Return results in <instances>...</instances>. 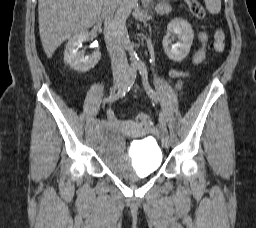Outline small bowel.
<instances>
[{
    "instance_id": "small-bowel-1",
    "label": "small bowel",
    "mask_w": 256,
    "mask_h": 228,
    "mask_svg": "<svg viewBox=\"0 0 256 228\" xmlns=\"http://www.w3.org/2000/svg\"><path fill=\"white\" fill-rule=\"evenodd\" d=\"M158 10L161 13H167L169 11V7L167 5L161 4V5L158 6ZM198 38H199V41L201 42V46L194 53V55L192 57V61L195 64H198V63L203 61V59L205 57L206 46H207V41H208V36L205 32H200L198 34ZM169 75H170V77L177 79L176 87L178 89L181 88L182 80L189 76L188 72L179 71V70H175V69H170L169 70ZM107 117H108V119L111 123H113V124L118 123V120H117V118H116V116H115V114L113 113L112 110L107 111ZM150 131L154 133V132H156V129L151 128Z\"/></svg>"
}]
</instances>
